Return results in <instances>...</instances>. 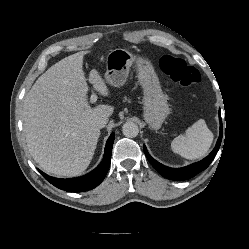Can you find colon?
Here are the masks:
<instances>
[{"label":"colon","mask_w":249,"mask_h":249,"mask_svg":"<svg viewBox=\"0 0 249 249\" xmlns=\"http://www.w3.org/2000/svg\"><path fill=\"white\" fill-rule=\"evenodd\" d=\"M159 66L172 81L182 86H192L200 82V73L183 59L165 55L160 59Z\"/></svg>","instance_id":"1"}]
</instances>
